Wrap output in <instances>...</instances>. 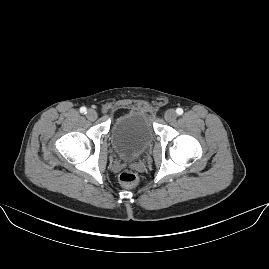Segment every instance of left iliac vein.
<instances>
[{"label": "left iliac vein", "mask_w": 269, "mask_h": 269, "mask_svg": "<svg viewBox=\"0 0 269 269\" xmlns=\"http://www.w3.org/2000/svg\"><path fill=\"white\" fill-rule=\"evenodd\" d=\"M176 112L173 109H169L165 112V119L167 122H173L176 119Z\"/></svg>", "instance_id": "4c4485c4"}]
</instances>
